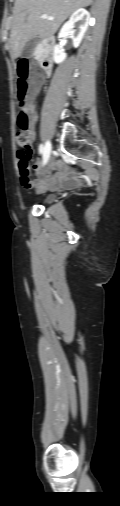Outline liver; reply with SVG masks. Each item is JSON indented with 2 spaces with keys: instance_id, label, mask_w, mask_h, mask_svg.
<instances>
[{
  "instance_id": "6515ba94",
  "label": "liver",
  "mask_w": 120,
  "mask_h": 506,
  "mask_svg": "<svg viewBox=\"0 0 120 506\" xmlns=\"http://www.w3.org/2000/svg\"><path fill=\"white\" fill-rule=\"evenodd\" d=\"M92 2L93 0H15L9 39L11 57L18 58L32 38L46 39L53 36L73 12ZM42 15L54 19H42Z\"/></svg>"
}]
</instances>
